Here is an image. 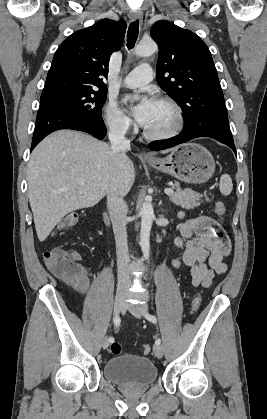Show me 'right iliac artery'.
I'll use <instances>...</instances> for the list:
<instances>
[{
    "label": "right iliac artery",
    "mask_w": 267,
    "mask_h": 419,
    "mask_svg": "<svg viewBox=\"0 0 267 419\" xmlns=\"http://www.w3.org/2000/svg\"><path fill=\"white\" fill-rule=\"evenodd\" d=\"M120 322H121L120 317L118 315L115 316V318H114V325H115V327H118L120 325ZM113 340H114L113 337H110L109 338V342H113Z\"/></svg>",
    "instance_id": "right-iliac-artery-1"
}]
</instances>
